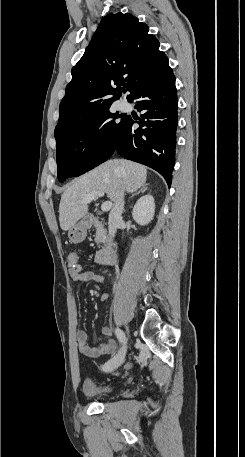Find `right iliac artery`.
Instances as JSON below:
<instances>
[{
  "instance_id": "82829eb1",
  "label": "right iliac artery",
  "mask_w": 245,
  "mask_h": 457,
  "mask_svg": "<svg viewBox=\"0 0 245 457\" xmlns=\"http://www.w3.org/2000/svg\"><path fill=\"white\" fill-rule=\"evenodd\" d=\"M115 334H116V336H117L119 342L122 343V344H125V342H126V337H125L124 332H123L121 329L116 328V329H115Z\"/></svg>"
}]
</instances>
